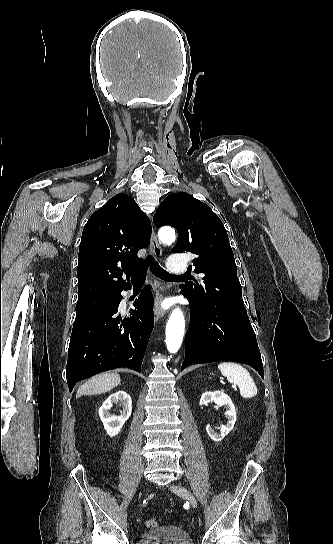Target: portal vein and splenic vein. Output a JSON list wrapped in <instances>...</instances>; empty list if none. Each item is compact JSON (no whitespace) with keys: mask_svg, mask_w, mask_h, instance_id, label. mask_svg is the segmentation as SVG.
I'll return each instance as SVG.
<instances>
[{"mask_svg":"<svg viewBox=\"0 0 333 544\" xmlns=\"http://www.w3.org/2000/svg\"><path fill=\"white\" fill-rule=\"evenodd\" d=\"M233 388H235V390H237V387L234 385Z\"/></svg>","mask_w":333,"mask_h":544,"instance_id":"obj_1","label":"portal vein and splenic vein"}]
</instances>
